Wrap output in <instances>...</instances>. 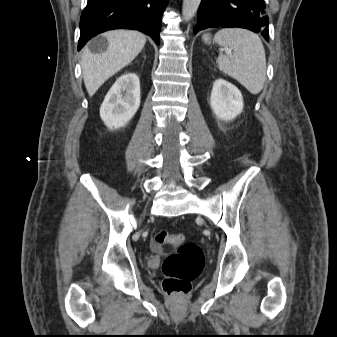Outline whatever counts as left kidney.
I'll use <instances>...</instances> for the list:
<instances>
[{
	"mask_svg": "<svg viewBox=\"0 0 337 337\" xmlns=\"http://www.w3.org/2000/svg\"><path fill=\"white\" fill-rule=\"evenodd\" d=\"M210 106L218 119L231 121L243 110V97L237 87L217 79L211 91Z\"/></svg>",
	"mask_w": 337,
	"mask_h": 337,
	"instance_id": "left-kidney-1",
	"label": "left kidney"
}]
</instances>
